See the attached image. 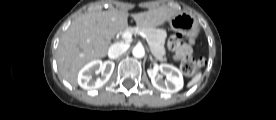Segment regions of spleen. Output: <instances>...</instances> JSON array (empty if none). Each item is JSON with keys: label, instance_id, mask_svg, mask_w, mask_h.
I'll return each instance as SVG.
<instances>
[{"label": "spleen", "instance_id": "obj_1", "mask_svg": "<svg viewBox=\"0 0 276 120\" xmlns=\"http://www.w3.org/2000/svg\"><path fill=\"white\" fill-rule=\"evenodd\" d=\"M201 78V73L195 75L192 80L188 83V87H191L192 85L196 84Z\"/></svg>", "mask_w": 276, "mask_h": 120}]
</instances>
